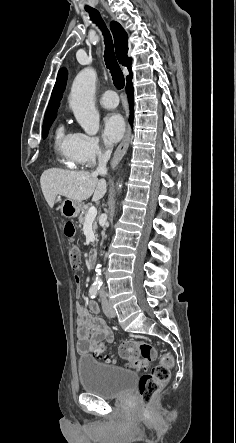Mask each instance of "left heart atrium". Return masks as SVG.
I'll use <instances>...</instances> for the list:
<instances>
[{"label": "left heart atrium", "instance_id": "1", "mask_svg": "<svg viewBox=\"0 0 236 443\" xmlns=\"http://www.w3.org/2000/svg\"><path fill=\"white\" fill-rule=\"evenodd\" d=\"M102 128L105 138L109 142H116L124 134L125 122L118 113H109L103 118Z\"/></svg>", "mask_w": 236, "mask_h": 443}]
</instances>
